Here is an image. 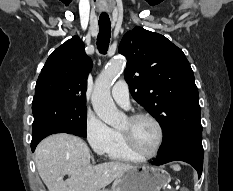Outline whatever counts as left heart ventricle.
Instances as JSON below:
<instances>
[{
    "label": "left heart ventricle",
    "mask_w": 233,
    "mask_h": 191,
    "mask_svg": "<svg viewBox=\"0 0 233 191\" xmlns=\"http://www.w3.org/2000/svg\"><path fill=\"white\" fill-rule=\"evenodd\" d=\"M120 130L131 134L141 152L150 154L155 150L158 142V131L150 120L140 119L136 122H130L127 119Z\"/></svg>",
    "instance_id": "1"
}]
</instances>
